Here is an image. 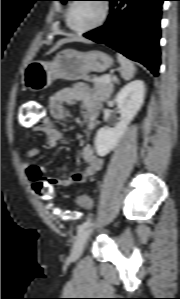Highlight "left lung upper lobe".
Returning <instances> with one entry per match:
<instances>
[{
	"instance_id": "obj_1",
	"label": "left lung upper lobe",
	"mask_w": 180,
	"mask_h": 299,
	"mask_svg": "<svg viewBox=\"0 0 180 299\" xmlns=\"http://www.w3.org/2000/svg\"><path fill=\"white\" fill-rule=\"evenodd\" d=\"M59 1H62L63 3H65L66 1H69V0H59Z\"/></svg>"
}]
</instances>
